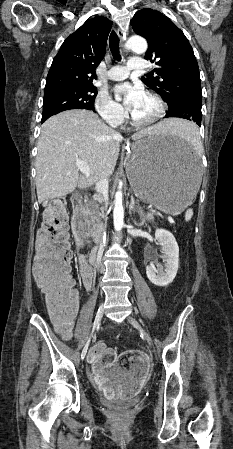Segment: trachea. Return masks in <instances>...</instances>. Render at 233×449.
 <instances>
[{"instance_id":"1","label":"trachea","mask_w":233,"mask_h":449,"mask_svg":"<svg viewBox=\"0 0 233 449\" xmlns=\"http://www.w3.org/2000/svg\"><path fill=\"white\" fill-rule=\"evenodd\" d=\"M109 47L112 52L114 59L121 60V55L119 54V40L115 31H112L109 37Z\"/></svg>"}]
</instances>
